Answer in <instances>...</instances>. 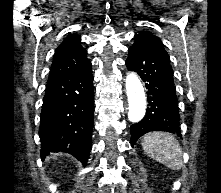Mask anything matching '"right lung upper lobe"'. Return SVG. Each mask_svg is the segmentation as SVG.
<instances>
[{
	"label": "right lung upper lobe",
	"instance_id": "right-lung-upper-lobe-1",
	"mask_svg": "<svg viewBox=\"0 0 221 193\" xmlns=\"http://www.w3.org/2000/svg\"><path fill=\"white\" fill-rule=\"evenodd\" d=\"M87 51L80 44V37L70 35L58 46L53 57L49 78L73 73L88 64Z\"/></svg>",
	"mask_w": 221,
	"mask_h": 193
}]
</instances>
